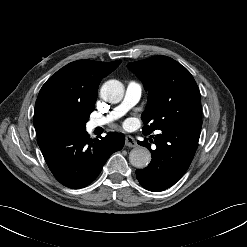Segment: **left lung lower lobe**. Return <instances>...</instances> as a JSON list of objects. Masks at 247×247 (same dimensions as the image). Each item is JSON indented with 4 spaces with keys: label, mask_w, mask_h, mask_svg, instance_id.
<instances>
[{
    "label": "left lung lower lobe",
    "mask_w": 247,
    "mask_h": 247,
    "mask_svg": "<svg viewBox=\"0 0 247 247\" xmlns=\"http://www.w3.org/2000/svg\"><path fill=\"white\" fill-rule=\"evenodd\" d=\"M201 129L186 124H172L163 128L154 139L152 150L147 139L138 142L151 151V163L142 170H136L140 184L153 192L163 191L175 184L187 171L198 147Z\"/></svg>",
    "instance_id": "obj_1"
}]
</instances>
